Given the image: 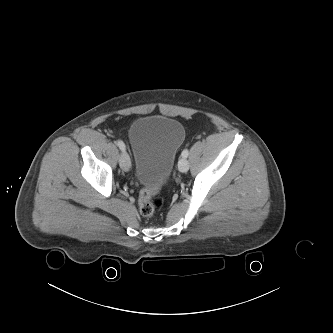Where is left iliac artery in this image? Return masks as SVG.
<instances>
[{"label":"left iliac artery","instance_id":"44dca946","mask_svg":"<svg viewBox=\"0 0 333 333\" xmlns=\"http://www.w3.org/2000/svg\"><path fill=\"white\" fill-rule=\"evenodd\" d=\"M188 155H189V151H188V149H184V150L182 151V153H181V156H182L183 158H187Z\"/></svg>","mask_w":333,"mask_h":333}]
</instances>
